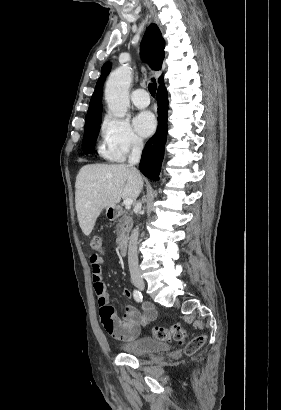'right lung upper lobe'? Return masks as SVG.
<instances>
[{
	"mask_svg": "<svg viewBox=\"0 0 281 410\" xmlns=\"http://www.w3.org/2000/svg\"><path fill=\"white\" fill-rule=\"evenodd\" d=\"M165 42L161 32L156 24H151L143 37L141 43V56L146 62H149L153 70H160L164 59ZM111 68L110 63L103 65L101 76L97 81L95 91L91 97L89 109L86 115V121L95 119L101 116L102 113V86L103 82ZM160 86L164 85L163 77L159 79Z\"/></svg>",
	"mask_w": 281,
	"mask_h": 410,
	"instance_id": "obj_1",
	"label": "right lung upper lobe"
}]
</instances>
